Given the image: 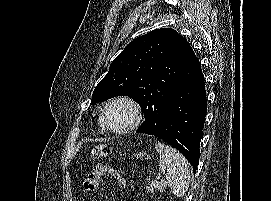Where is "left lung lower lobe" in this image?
<instances>
[{
  "label": "left lung lower lobe",
  "mask_w": 271,
  "mask_h": 201,
  "mask_svg": "<svg viewBox=\"0 0 271 201\" xmlns=\"http://www.w3.org/2000/svg\"><path fill=\"white\" fill-rule=\"evenodd\" d=\"M204 75L201 65L187 42L178 83L162 111L157 130L139 127L136 132L154 135L178 149L197 169L200 140L207 112Z\"/></svg>",
  "instance_id": "1"
}]
</instances>
